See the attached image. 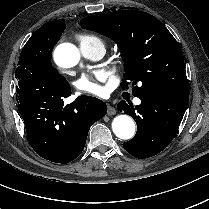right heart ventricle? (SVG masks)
<instances>
[{
    "label": "right heart ventricle",
    "instance_id": "obj_1",
    "mask_svg": "<svg viewBox=\"0 0 209 209\" xmlns=\"http://www.w3.org/2000/svg\"><path fill=\"white\" fill-rule=\"evenodd\" d=\"M79 40H80V46H85V47L95 46V45H102L103 46L102 41L98 37H96L92 34L80 35Z\"/></svg>",
    "mask_w": 209,
    "mask_h": 209
}]
</instances>
